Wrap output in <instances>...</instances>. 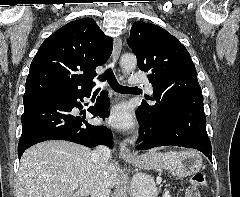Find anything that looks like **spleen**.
<instances>
[{
    "mask_svg": "<svg viewBox=\"0 0 240 197\" xmlns=\"http://www.w3.org/2000/svg\"><path fill=\"white\" fill-rule=\"evenodd\" d=\"M145 197H154V196H153V186H151L150 192L147 193Z\"/></svg>",
    "mask_w": 240,
    "mask_h": 197,
    "instance_id": "3e777b00",
    "label": "spleen"
}]
</instances>
